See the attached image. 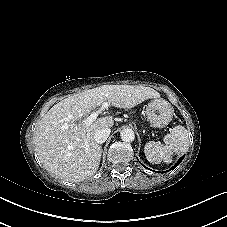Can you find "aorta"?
<instances>
[{"label": "aorta", "instance_id": "obj_1", "mask_svg": "<svg viewBox=\"0 0 227 227\" xmlns=\"http://www.w3.org/2000/svg\"><path fill=\"white\" fill-rule=\"evenodd\" d=\"M120 136L124 142H132L135 139L134 131L130 128L123 129Z\"/></svg>", "mask_w": 227, "mask_h": 227}]
</instances>
